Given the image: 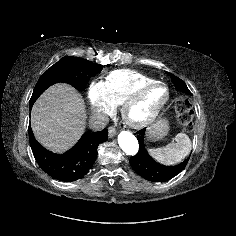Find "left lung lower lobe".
Masks as SVG:
<instances>
[{
  "label": "left lung lower lobe",
  "mask_w": 236,
  "mask_h": 236,
  "mask_svg": "<svg viewBox=\"0 0 236 236\" xmlns=\"http://www.w3.org/2000/svg\"><path fill=\"white\" fill-rule=\"evenodd\" d=\"M145 130L138 131L139 151L130 158L131 167L143 178L153 182H165L176 176L187 165L189 158L176 166L157 163L147 152L144 145Z\"/></svg>",
  "instance_id": "left-lung-lower-lobe-1"
}]
</instances>
